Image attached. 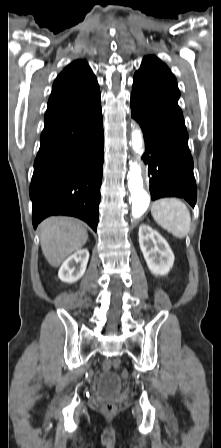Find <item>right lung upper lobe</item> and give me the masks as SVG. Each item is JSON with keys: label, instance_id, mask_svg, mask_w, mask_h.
Masks as SVG:
<instances>
[{"label": "right lung upper lobe", "instance_id": "1", "mask_svg": "<svg viewBox=\"0 0 221 448\" xmlns=\"http://www.w3.org/2000/svg\"><path fill=\"white\" fill-rule=\"evenodd\" d=\"M98 94L100 92L97 79L87 62L73 61L54 81L45 122L77 108Z\"/></svg>", "mask_w": 221, "mask_h": 448}]
</instances>
